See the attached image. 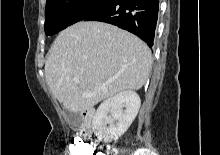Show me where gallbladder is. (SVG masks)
<instances>
[{"label":"gallbladder","instance_id":"gallbladder-1","mask_svg":"<svg viewBox=\"0 0 220 155\" xmlns=\"http://www.w3.org/2000/svg\"><path fill=\"white\" fill-rule=\"evenodd\" d=\"M66 117L71 125V128L76 130L77 126L75 124L76 121H79V116L73 112H70L68 110L65 111Z\"/></svg>","mask_w":220,"mask_h":155}]
</instances>
